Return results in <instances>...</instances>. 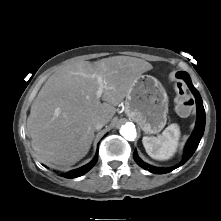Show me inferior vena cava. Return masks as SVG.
I'll use <instances>...</instances> for the list:
<instances>
[{
	"label": "inferior vena cava",
	"mask_w": 221,
	"mask_h": 221,
	"mask_svg": "<svg viewBox=\"0 0 221 221\" xmlns=\"http://www.w3.org/2000/svg\"><path fill=\"white\" fill-rule=\"evenodd\" d=\"M105 125V122L101 119H94L92 121V127L95 129V130H99L101 129L103 126Z\"/></svg>",
	"instance_id": "obj_1"
}]
</instances>
